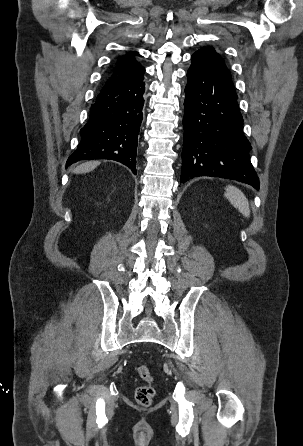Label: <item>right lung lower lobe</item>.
I'll return each mask as SVG.
<instances>
[{
    "label": "right lung lower lobe",
    "instance_id": "98d812e1",
    "mask_svg": "<svg viewBox=\"0 0 303 446\" xmlns=\"http://www.w3.org/2000/svg\"><path fill=\"white\" fill-rule=\"evenodd\" d=\"M143 75L103 87L91 106L81 141L66 167L84 159H110L136 174V148L144 105Z\"/></svg>",
    "mask_w": 303,
    "mask_h": 446
}]
</instances>
